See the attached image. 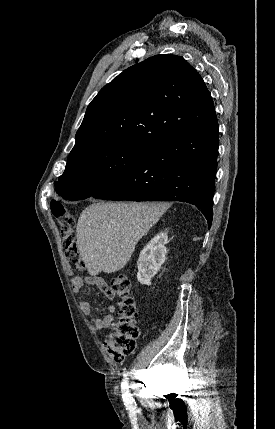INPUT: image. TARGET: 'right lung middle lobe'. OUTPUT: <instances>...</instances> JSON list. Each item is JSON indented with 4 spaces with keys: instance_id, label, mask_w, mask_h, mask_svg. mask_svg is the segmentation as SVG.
<instances>
[{
    "instance_id": "obj_1",
    "label": "right lung middle lobe",
    "mask_w": 275,
    "mask_h": 429,
    "mask_svg": "<svg viewBox=\"0 0 275 429\" xmlns=\"http://www.w3.org/2000/svg\"><path fill=\"white\" fill-rule=\"evenodd\" d=\"M150 149L116 144L68 162L55 182L57 193L67 200L91 197L138 167Z\"/></svg>"
}]
</instances>
